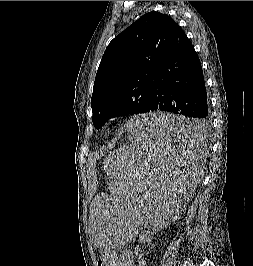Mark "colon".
I'll use <instances>...</instances> for the list:
<instances>
[{
  "mask_svg": "<svg viewBox=\"0 0 253 266\" xmlns=\"http://www.w3.org/2000/svg\"><path fill=\"white\" fill-rule=\"evenodd\" d=\"M98 266H119V259L114 252L105 251L99 257Z\"/></svg>",
  "mask_w": 253,
  "mask_h": 266,
  "instance_id": "1",
  "label": "colon"
}]
</instances>
